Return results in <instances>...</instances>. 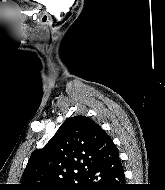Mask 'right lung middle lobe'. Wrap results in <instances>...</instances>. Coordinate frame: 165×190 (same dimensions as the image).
<instances>
[{
    "instance_id": "obj_1",
    "label": "right lung middle lobe",
    "mask_w": 165,
    "mask_h": 190,
    "mask_svg": "<svg viewBox=\"0 0 165 190\" xmlns=\"http://www.w3.org/2000/svg\"><path fill=\"white\" fill-rule=\"evenodd\" d=\"M79 184H71L65 187L55 188L54 190H78Z\"/></svg>"
}]
</instances>
